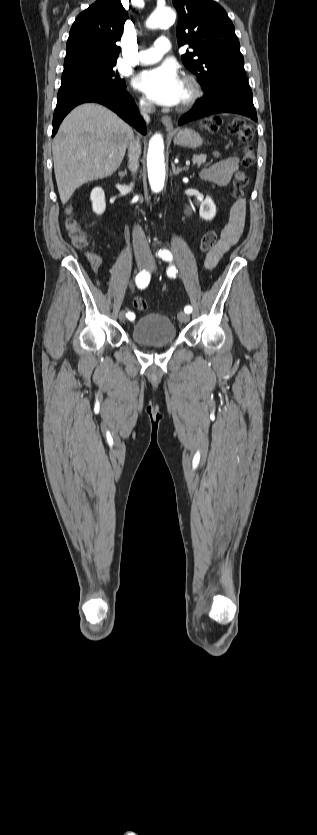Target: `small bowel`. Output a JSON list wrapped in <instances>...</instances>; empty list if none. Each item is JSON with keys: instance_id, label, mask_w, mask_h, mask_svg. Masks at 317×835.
<instances>
[{"instance_id": "1", "label": "small bowel", "mask_w": 317, "mask_h": 835, "mask_svg": "<svg viewBox=\"0 0 317 835\" xmlns=\"http://www.w3.org/2000/svg\"><path fill=\"white\" fill-rule=\"evenodd\" d=\"M238 168V157H217L214 162L202 169L200 172V178L218 186H226ZM244 224L245 209L243 204H238L232 209L230 220L222 231L220 240L204 258V267L206 269H213L218 264L221 257L238 242L243 233ZM101 263L102 258L99 256H94L91 260V264L94 268H97Z\"/></svg>"}]
</instances>
